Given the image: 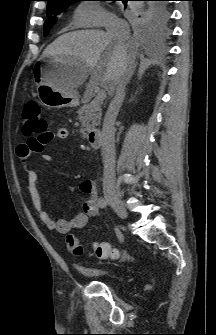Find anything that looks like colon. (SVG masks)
Returning <instances> with one entry per match:
<instances>
[{
  "label": "colon",
  "instance_id": "1",
  "mask_svg": "<svg viewBox=\"0 0 216 335\" xmlns=\"http://www.w3.org/2000/svg\"><path fill=\"white\" fill-rule=\"evenodd\" d=\"M23 124L22 131L26 136H29L28 145L33 152L42 151L46 141L49 140L51 132L48 130L47 120L41 115L39 104L34 101H28L23 108L22 113ZM68 249L76 256L84 254V247L80 240L73 236L66 237ZM94 254L98 258H118L120 252L117 249H112L104 244V242H96L93 245Z\"/></svg>",
  "mask_w": 216,
  "mask_h": 335
}]
</instances>
